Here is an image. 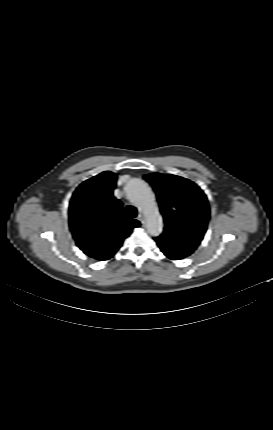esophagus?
I'll use <instances>...</instances> for the list:
<instances>
[{
    "label": "esophagus",
    "instance_id": "34e87169",
    "mask_svg": "<svg viewBox=\"0 0 273 430\" xmlns=\"http://www.w3.org/2000/svg\"><path fill=\"white\" fill-rule=\"evenodd\" d=\"M137 219L143 224L145 222V216L143 214H139Z\"/></svg>",
    "mask_w": 273,
    "mask_h": 430
}]
</instances>
